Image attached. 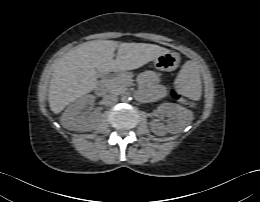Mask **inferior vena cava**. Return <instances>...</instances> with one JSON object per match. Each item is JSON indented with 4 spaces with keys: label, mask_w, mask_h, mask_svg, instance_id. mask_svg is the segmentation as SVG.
Segmentation results:
<instances>
[{
    "label": "inferior vena cava",
    "mask_w": 260,
    "mask_h": 202,
    "mask_svg": "<svg viewBox=\"0 0 260 202\" xmlns=\"http://www.w3.org/2000/svg\"><path fill=\"white\" fill-rule=\"evenodd\" d=\"M103 101L106 105H113L118 101V97L114 93L106 94Z\"/></svg>",
    "instance_id": "obj_1"
}]
</instances>
